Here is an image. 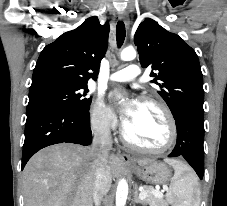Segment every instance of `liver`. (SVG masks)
Segmentation results:
<instances>
[{"label": "liver", "instance_id": "obj_1", "mask_svg": "<svg viewBox=\"0 0 227 206\" xmlns=\"http://www.w3.org/2000/svg\"><path fill=\"white\" fill-rule=\"evenodd\" d=\"M94 155L90 147L62 143L37 152L23 170L25 206H93ZM146 164L151 160H140ZM122 162L109 155L111 178Z\"/></svg>", "mask_w": 227, "mask_h": 206}]
</instances>
